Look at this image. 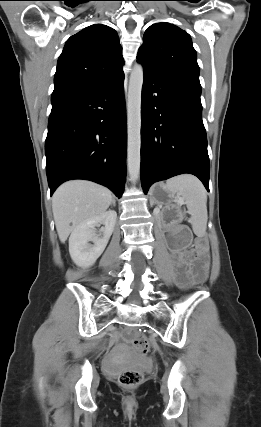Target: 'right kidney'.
<instances>
[{
  "label": "right kidney",
  "instance_id": "1",
  "mask_svg": "<svg viewBox=\"0 0 261 427\" xmlns=\"http://www.w3.org/2000/svg\"><path fill=\"white\" fill-rule=\"evenodd\" d=\"M117 219V213L109 210L103 214L89 219L77 225L69 238V253L79 267L92 266L103 253L110 236L113 233ZM103 224L101 229L103 236L96 234V226ZM92 241L94 245H90Z\"/></svg>",
  "mask_w": 261,
  "mask_h": 427
}]
</instances>
